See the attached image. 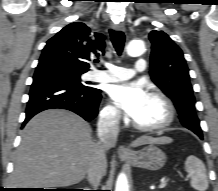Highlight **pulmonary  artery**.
Returning a JSON list of instances; mask_svg holds the SVG:
<instances>
[{
	"label": "pulmonary artery",
	"instance_id": "1",
	"mask_svg": "<svg viewBox=\"0 0 218 191\" xmlns=\"http://www.w3.org/2000/svg\"><path fill=\"white\" fill-rule=\"evenodd\" d=\"M105 71L90 72L87 79L95 82L113 83L128 80L136 73L144 71L146 68V60L138 58L135 62V69H128L120 66L109 64Z\"/></svg>",
	"mask_w": 218,
	"mask_h": 191
}]
</instances>
